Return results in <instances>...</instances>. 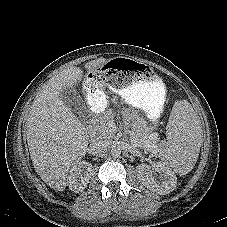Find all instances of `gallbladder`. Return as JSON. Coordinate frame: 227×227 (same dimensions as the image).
<instances>
[{
    "instance_id": "1",
    "label": "gallbladder",
    "mask_w": 227,
    "mask_h": 227,
    "mask_svg": "<svg viewBox=\"0 0 227 227\" xmlns=\"http://www.w3.org/2000/svg\"><path fill=\"white\" fill-rule=\"evenodd\" d=\"M61 99L64 104L81 120L89 112L82 97L73 87H65L61 92Z\"/></svg>"
}]
</instances>
